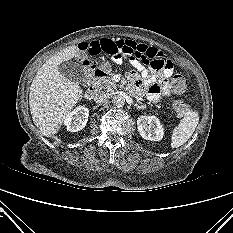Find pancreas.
Returning a JSON list of instances; mask_svg holds the SVG:
<instances>
[{
    "mask_svg": "<svg viewBox=\"0 0 233 233\" xmlns=\"http://www.w3.org/2000/svg\"><path fill=\"white\" fill-rule=\"evenodd\" d=\"M113 75V73H110L108 76L102 78L98 83L99 87L107 92H113L117 89V85L113 81Z\"/></svg>",
    "mask_w": 233,
    "mask_h": 233,
    "instance_id": "pancreas-1",
    "label": "pancreas"
}]
</instances>
